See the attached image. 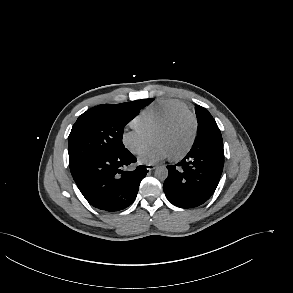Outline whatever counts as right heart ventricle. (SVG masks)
<instances>
[{"label": "right heart ventricle", "instance_id": "e07e8e85", "mask_svg": "<svg viewBox=\"0 0 293 293\" xmlns=\"http://www.w3.org/2000/svg\"><path fill=\"white\" fill-rule=\"evenodd\" d=\"M188 106L179 100H159L146 107L134 120L133 126L150 136L155 129L172 115L188 111Z\"/></svg>", "mask_w": 293, "mask_h": 293}]
</instances>
